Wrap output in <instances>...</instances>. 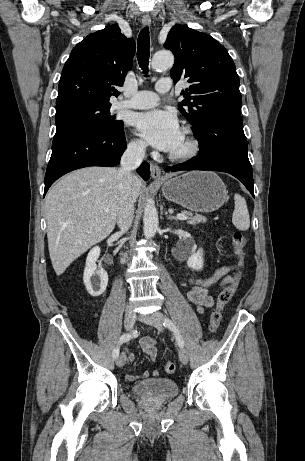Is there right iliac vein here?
Segmentation results:
<instances>
[{
    "label": "right iliac vein",
    "instance_id": "right-iliac-vein-1",
    "mask_svg": "<svg viewBox=\"0 0 305 461\" xmlns=\"http://www.w3.org/2000/svg\"><path fill=\"white\" fill-rule=\"evenodd\" d=\"M135 321H136L135 313L131 309L127 310L126 313H125V316H124V327H125V329L127 331H131L134 324H135ZM125 362H126V355H125V353H121L116 359V365L118 367H122V366H124Z\"/></svg>",
    "mask_w": 305,
    "mask_h": 461
}]
</instances>
